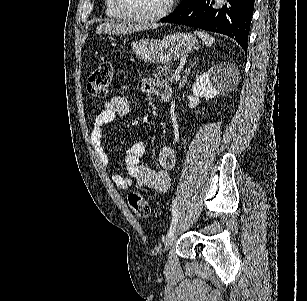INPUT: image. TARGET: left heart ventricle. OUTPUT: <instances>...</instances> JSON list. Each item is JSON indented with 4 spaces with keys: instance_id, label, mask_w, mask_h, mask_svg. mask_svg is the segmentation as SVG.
I'll use <instances>...</instances> for the list:
<instances>
[{
    "instance_id": "obj_1",
    "label": "left heart ventricle",
    "mask_w": 307,
    "mask_h": 301,
    "mask_svg": "<svg viewBox=\"0 0 307 301\" xmlns=\"http://www.w3.org/2000/svg\"><path fill=\"white\" fill-rule=\"evenodd\" d=\"M124 4V13H154L161 11L166 0H129L121 1Z\"/></svg>"
}]
</instances>
